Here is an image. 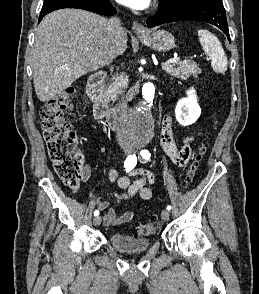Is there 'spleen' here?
<instances>
[{
  "mask_svg": "<svg viewBox=\"0 0 259 294\" xmlns=\"http://www.w3.org/2000/svg\"><path fill=\"white\" fill-rule=\"evenodd\" d=\"M198 37L206 55L211 58V67L216 73L227 70V57L219 39L208 30H198Z\"/></svg>",
  "mask_w": 259,
  "mask_h": 294,
  "instance_id": "3e777b00",
  "label": "spleen"
}]
</instances>
